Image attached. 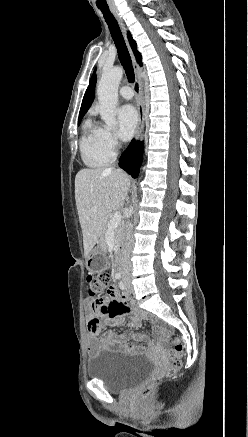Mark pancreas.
Returning a JSON list of instances; mask_svg holds the SVG:
<instances>
[{
  "mask_svg": "<svg viewBox=\"0 0 248 437\" xmlns=\"http://www.w3.org/2000/svg\"><path fill=\"white\" fill-rule=\"evenodd\" d=\"M108 224H109V222L106 223L105 228H104V232L101 236V243L103 245L106 244V232L108 230ZM123 229H124L123 224H119L116 228H114V236H115V243L116 244H120V242H121L122 235H123Z\"/></svg>",
  "mask_w": 248,
  "mask_h": 437,
  "instance_id": "1",
  "label": "pancreas"
}]
</instances>
